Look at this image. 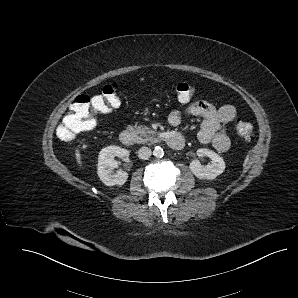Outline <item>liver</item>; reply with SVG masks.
<instances>
[{
    "instance_id": "obj_1",
    "label": "liver",
    "mask_w": 298,
    "mask_h": 298,
    "mask_svg": "<svg viewBox=\"0 0 298 298\" xmlns=\"http://www.w3.org/2000/svg\"><path fill=\"white\" fill-rule=\"evenodd\" d=\"M76 156H77V160L80 161L79 154H77Z\"/></svg>"
}]
</instances>
